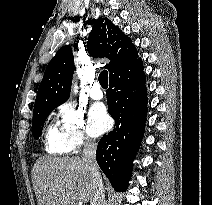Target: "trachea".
<instances>
[{
  "mask_svg": "<svg viewBox=\"0 0 212 205\" xmlns=\"http://www.w3.org/2000/svg\"><path fill=\"white\" fill-rule=\"evenodd\" d=\"M99 83L103 88L108 87V72L106 70H103L99 75Z\"/></svg>",
  "mask_w": 212,
  "mask_h": 205,
  "instance_id": "trachea-1",
  "label": "trachea"
}]
</instances>
